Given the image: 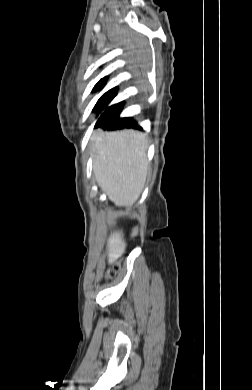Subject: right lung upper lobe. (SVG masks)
<instances>
[{
  "mask_svg": "<svg viewBox=\"0 0 252 390\" xmlns=\"http://www.w3.org/2000/svg\"><path fill=\"white\" fill-rule=\"evenodd\" d=\"M107 77H104L103 79H101L94 87V91L98 88H101L105 85V81H106ZM116 93H117V87L109 90L108 92H106L99 100L98 102H102V101H111L115 96H116Z\"/></svg>",
  "mask_w": 252,
  "mask_h": 390,
  "instance_id": "right-lung-upper-lobe-1",
  "label": "right lung upper lobe"
}]
</instances>
